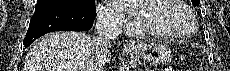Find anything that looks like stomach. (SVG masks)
I'll return each mask as SVG.
<instances>
[{"label":"stomach","instance_id":"1","mask_svg":"<svg viewBox=\"0 0 230 71\" xmlns=\"http://www.w3.org/2000/svg\"><path fill=\"white\" fill-rule=\"evenodd\" d=\"M142 59L153 64H167L172 60L170 48L165 44L154 43L143 45L140 49H130Z\"/></svg>","mask_w":230,"mask_h":71}]
</instances>
